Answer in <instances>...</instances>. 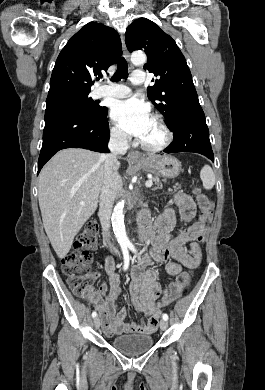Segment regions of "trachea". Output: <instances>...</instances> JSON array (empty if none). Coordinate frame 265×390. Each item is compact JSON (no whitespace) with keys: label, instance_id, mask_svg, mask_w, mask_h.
<instances>
[{"label":"trachea","instance_id":"1","mask_svg":"<svg viewBox=\"0 0 265 390\" xmlns=\"http://www.w3.org/2000/svg\"><path fill=\"white\" fill-rule=\"evenodd\" d=\"M128 77V65L124 57H121L117 61V71L112 77V81H119L121 78Z\"/></svg>","mask_w":265,"mask_h":390}]
</instances>
